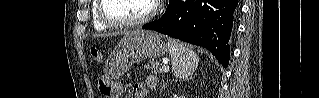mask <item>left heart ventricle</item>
Returning a JSON list of instances; mask_svg holds the SVG:
<instances>
[{"instance_id":"obj_1","label":"left heart ventricle","mask_w":319,"mask_h":98,"mask_svg":"<svg viewBox=\"0 0 319 98\" xmlns=\"http://www.w3.org/2000/svg\"><path fill=\"white\" fill-rule=\"evenodd\" d=\"M150 7V0H106L104 12L114 20L132 21L143 17Z\"/></svg>"}]
</instances>
